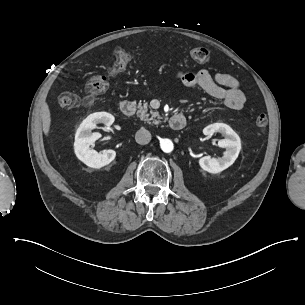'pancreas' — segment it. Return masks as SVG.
Wrapping results in <instances>:
<instances>
[{
  "instance_id": "cf45deb5",
  "label": "pancreas",
  "mask_w": 305,
  "mask_h": 305,
  "mask_svg": "<svg viewBox=\"0 0 305 305\" xmlns=\"http://www.w3.org/2000/svg\"><path fill=\"white\" fill-rule=\"evenodd\" d=\"M138 111H137V116L146 122L149 121H153L154 124H159L161 121L159 120L161 118V116L159 115L158 112H154V111H150L148 113V104L144 103L142 105L141 102L138 103L137 105ZM155 118H157L158 120H156Z\"/></svg>"
}]
</instances>
